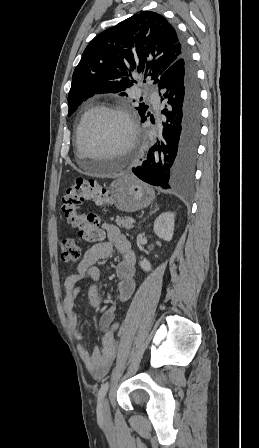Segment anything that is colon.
Masks as SVG:
<instances>
[{
	"mask_svg": "<svg viewBox=\"0 0 259 448\" xmlns=\"http://www.w3.org/2000/svg\"><path fill=\"white\" fill-rule=\"evenodd\" d=\"M93 201L98 205H110L113 202L109 190L101 186L93 178L78 177L67 187L62 197V211L68 223L78 230L79 237L84 241H95L101 237L98 229L99 218L97 215L85 214L80 211L84 201ZM60 258L63 262L76 263L82 257V249L71 238H63L59 242ZM119 328V324L114 322Z\"/></svg>",
	"mask_w": 259,
	"mask_h": 448,
	"instance_id": "obj_1",
	"label": "colon"
}]
</instances>
